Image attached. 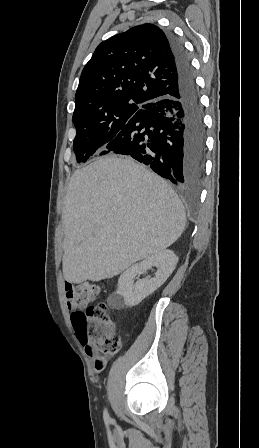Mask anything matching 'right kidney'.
I'll return each instance as SVG.
<instances>
[{
	"label": "right kidney",
	"mask_w": 259,
	"mask_h": 448,
	"mask_svg": "<svg viewBox=\"0 0 259 448\" xmlns=\"http://www.w3.org/2000/svg\"><path fill=\"white\" fill-rule=\"evenodd\" d=\"M178 262L177 256H175L172 250H162L157 252L154 256L146 258L139 264H134L131 268H128L126 272L121 274L118 280V290L111 294L108 298V304L113 310H121V308H131V306H137L140 304L146 296L153 294L155 290H158L167 278L171 276L173 270L176 268ZM152 266L159 268L154 278H145V280H134L139 274H145L146 270H151Z\"/></svg>",
	"instance_id": "obj_1"
}]
</instances>
